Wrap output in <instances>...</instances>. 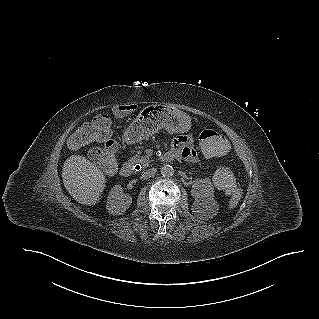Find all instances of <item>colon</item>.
I'll list each match as a JSON object with an SVG mask.
<instances>
[{
  "label": "colon",
  "instance_id": "5ec220e1",
  "mask_svg": "<svg viewBox=\"0 0 319 319\" xmlns=\"http://www.w3.org/2000/svg\"><path fill=\"white\" fill-rule=\"evenodd\" d=\"M107 116L100 114L92 122L80 127L69 139V146L78 149L90 141H101L102 146L94 148L90 153L92 161L98 163L105 171L111 172L117 164L116 147L110 138V130ZM200 144L205 155L214 158H225L232 151L231 138L215 130H204L201 132ZM215 179L219 186L227 192H233L236 188L235 179L230 170L220 167L215 172Z\"/></svg>",
  "mask_w": 319,
  "mask_h": 319
}]
</instances>
